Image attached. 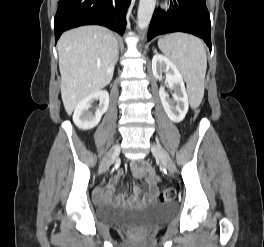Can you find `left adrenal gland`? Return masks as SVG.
<instances>
[{"mask_svg": "<svg viewBox=\"0 0 264 247\" xmlns=\"http://www.w3.org/2000/svg\"><path fill=\"white\" fill-rule=\"evenodd\" d=\"M154 53H157V49L154 50Z\"/></svg>", "mask_w": 264, "mask_h": 247, "instance_id": "1", "label": "left adrenal gland"}]
</instances>
